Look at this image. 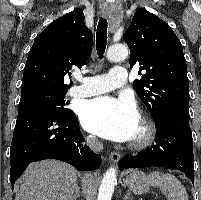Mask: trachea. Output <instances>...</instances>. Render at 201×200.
I'll return each instance as SVG.
<instances>
[{"instance_id": "trachea-1", "label": "trachea", "mask_w": 201, "mask_h": 200, "mask_svg": "<svg viewBox=\"0 0 201 200\" xmlns=\"http://www.w3.org/2000/svg\"><path fill=\"white\" fill-rule=\"evenodd\" d=\"M107 27H108L107 20L104 18H100L98 25H97V32H96V49H97V54L100 59L103 58V54L106 49Z\"/></svg>"}]
</instances>
